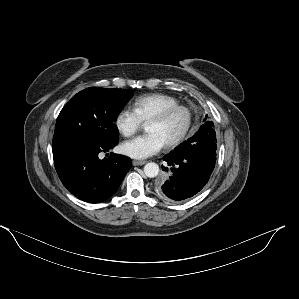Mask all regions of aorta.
Wrapping results in <instances>:
<instances>
[{
  "label": "aorta",
  "mask_w": 299,
  "mask_h": 299,
  "mask_svg": "<svg viewBox=\"0 0 299 299\" xmlns=\"http://www.w3.org/2000/svg\"><path fill=\"white\" fill-rule=\"evenodd\" d=\"M144 173L149 178H154L159 174V166L154 162L147 163L144 166Z\"/></svg>",
  "instance_id": "obj_1"
}]
</instances>
